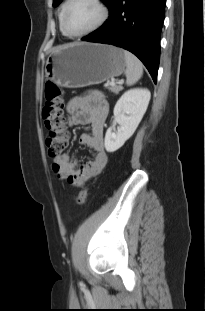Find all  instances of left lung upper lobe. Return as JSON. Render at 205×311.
Returning a JSON list of instances; mask_svg holds the SVG:
<instances>
[{
    "instance_id": "1",
    "label": "left lung upper lobe",
    "mask_w": 205,
    "mask_h": 311,
    "mask_svg": "<svg viewBox=\"0 0 205 311\" xmlns=\"http://www.w3.org/2000/svg\"><path fill=\"white\" fill-rule=\"evenodd\" d=\"M62 0H53V6H57ZM108 7L109 9L114 3V0H102Z\"/></svg>"
}]
</instances>
